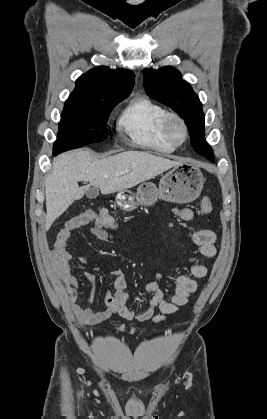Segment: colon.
<instances>
[{"instance_id": "obj_1", "label": "colon", "mask_w": 267, "mask_h": 419, "mask_svg": "<svg viewBox=\"0 0 267 419\" xmlns=\"http://www.w3.org/2000/svg\"><path fill=\"white\" fill-rule=\"evenodd\" d=\"M211 210H212V203H211L210 199H208V198L203 199L202 202H201V205L199 207V213L200 214H208V213L211 212ZM95 213L97 214L101 225L104 228H106L107 230L115 231L119 228L117 220L111 214H109L108 211H106L104 209H101V210H99ZM122 239L125 240L126 238L122 237ZM118 329L121 330V331L126 330V328L124 326H119ZM131 332H133V330H131Z\"/></svg>"}]
</instances>
